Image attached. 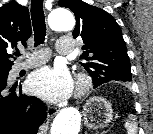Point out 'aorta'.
Here are the masks:
<instances>
[{"mask_svg":"<svg viewBox=\"0 0 153 134\" xmlns=\"http://www.w3.org/2000/svg\"><path fill=\"white\" fill-rule=\"evenodd\" d=\"M50 28L54 31H69L75 25L73 15L66 9H56L49 16ZM81 125L77 109L68 107L55 117L50 134H78Z\"/></svg>","mask_w":153,"mask_h":134,"instance_id":"obj_1","label":"aorta"}]
</instances>
